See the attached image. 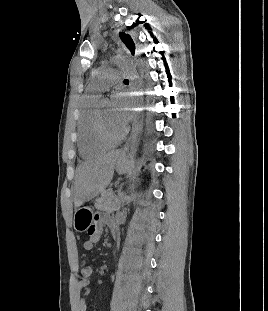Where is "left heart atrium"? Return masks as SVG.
Listing matches in <instances>:
<instances>
[{"label": "left heart atrium", "mask_w": 268, "mask_h": 311, "mask_svg": "<svg viewBox=\"0 0 268 311\" xmlns=\"http://www.w3.org/2000/svg\"><path fill=\"white\" fill-rule=\"evenodd\" d=\"M125 94L123 93H116L113 96V110L117 120L126 125L129 120V108H125L126 101L123 99Z\"/></svg>", "instance_id": "1"}]
</instances>
